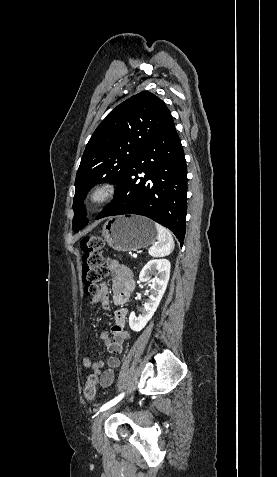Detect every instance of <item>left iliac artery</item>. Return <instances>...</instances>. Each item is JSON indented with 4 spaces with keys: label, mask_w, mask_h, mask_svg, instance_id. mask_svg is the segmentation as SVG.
I'll return each instance as SVG.
<instances>
[{
    "label": "left iliac artery",
    "mask_w": 277,
    "mask_h": 477,
    "mask_svg": "<svg viewBox=\"0 0 277 477\" xmlns=\"http://www.w3.org/2000/svg\"><path fill=\"white\" fill-rule=\"evenodd\" d=\"M124 396V393L120 394L119 396H117L116 398H114L113 400L107 402L106 404H104L101 408H100V411H105L107 409H109L110 407L114 406L115 404H117Z\"/></svg>",
    "instance_id": "obj_1"
}]
</instances>
